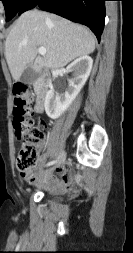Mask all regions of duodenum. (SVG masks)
<instances>
[{
  "mask_svg": "<svg viewBox=\"0 0 133 253\" xmlns=\"http://www.w3.org/2000/svg\"><path fill=\"white\" fill-rule=\"evenodd\" d=\"M50 79L47 75L42 74L34 82V88L36 91V105L35 110L38 113H42L45 107V101L48 94Z\"/></svg>",
  "mask_w": 133,
  "mask_h": 253,
  "instance_id": "duodenum-1",
  "label": "duodenum"
}]
</instances>
